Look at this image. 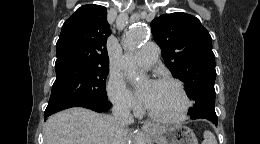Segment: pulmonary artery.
Masks as SVG:
<instances>
[{"label": "pulmonary artery", "instance_id": "obj_1", "mask_svg": "<svg viewBox=\"0 0 260 144\" xmlns=\"http://www.w3.org/2000/svg\"><path fill=\"white\" fill-rule=\"evenodd\" d=\"M158 56V47L155 44H146L136 53L134 59L141 67H151L158 61Z\"/></svg>", "mask_w": 260, "mask_h": 144}]
</instances>
